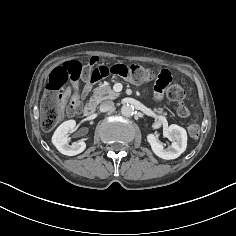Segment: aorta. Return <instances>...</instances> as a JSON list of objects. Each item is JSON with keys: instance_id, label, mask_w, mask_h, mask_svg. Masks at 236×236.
<instances>
[{"instance_id": "aorta-1", "label": "aorta", "mask_w": 236, "mask_h": 236, "mask_svg": "<svg viewBox=\"0 0 236 236\" xmlns=\"http://www.w3.org/2000/svg\"><path fill=\"white\" fill-rule=\"evenodd\" d=\"M121 113L123 116L129 117L134 113V107L131 105H123L121 108Z\"/></svg>"}]
</instances>
